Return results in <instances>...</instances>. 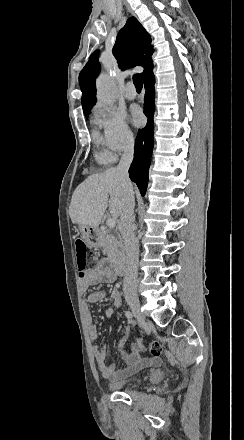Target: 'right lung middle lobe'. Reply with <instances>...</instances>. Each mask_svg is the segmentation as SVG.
I'll list each match as a JSON object with an SVG mask.
<instances>
[{
  "instance_id": "dd1d6c3e",
  "label": "right lung middle lobe",
  "mask_w": 244,
  "mask_h": 440,
  "mask_svg": "<svg viewBox=\"0 0 244 440\" xmlns=\"http://www.w3.org/2000/svg\"><path fill=\"white\" fill-rule=\"evenodd\" d=\"M87 114H88V112H84V115L86 116V118L88 117Z\"/></svg>"
}]
</instances>
